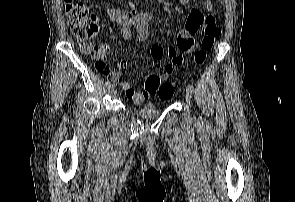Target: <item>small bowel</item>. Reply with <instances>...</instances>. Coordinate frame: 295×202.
<instances>
[{"label": "small bowel", "instance_id": "obj_1", "mask_svg": "<svg viewBox=\"0 0 295 202\" xmlns=\"http://www.w3.org/2000/svg\"><path fill=\"white\" fill-rule=\"evenodd\" d=\"M186 2L187 0H181ZM205 13H203L198 7H192L190 14L187 18L185 28L180 30L176 36V46L164 48L162 45H153L150 48V54L155 66H160L163 59L167 60L166 65L160 70V76L167 78L177 66L180 61V55L178 50L190 52L193 50L194 34L200 27L206 26L208 23H215L214 5L211 0L204 1ZM109 19L118 24L121 27V36L124 40H129L132 35V27H136L138 36L141 40L148 38V25L151 20V15L148 13H141L135 15L131 10L121 8H110L107 11ZM91 18L98 26L99 17L97 14H91ZM98 28V27H97ZM82 51L86 53H92L97 59L106 58L110 49L107 45L101 44L93 46L89 44L82 48ZM115 72H110L104 67L103 64L98 65V70L105 73L107 77L115 82L120 83L122 89L125 91L129 100L135 104H140L146 100H149L154 94V90H142L134 91L128 82L121 81L122 69L126 67L125 63H115ZM153 74H149L146 79H149Z\"/></svg>", "mask_w": 295, "mask_h": 202}]
</instances>
